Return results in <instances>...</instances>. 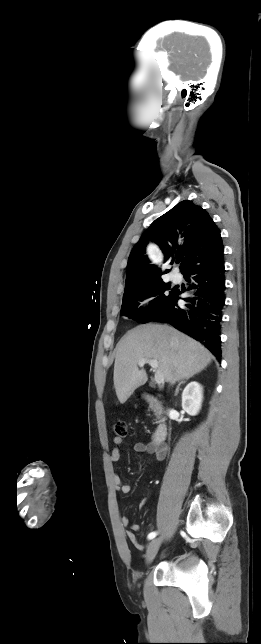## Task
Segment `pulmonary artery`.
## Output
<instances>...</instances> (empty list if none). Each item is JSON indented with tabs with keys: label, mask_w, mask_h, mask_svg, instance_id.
<instances>
[{
	"label": "pulmonary artery",
	"mask_w": 261,
	"mask_h": 644,
	"mask_svg": "<svg viewBox=\"0 0 261 644\" xmlns=\"http://www.w3.org/2000/svg\"><path fill=\"white\" fill-rule=\"evenodd\" d=\"M179 278H180V276H179L177 273H172V274H171V279H172L174 282H177V281L179 280Z\"/></svg>",
	"instance_id": "e3ab8cb5"
}]
</instances>
